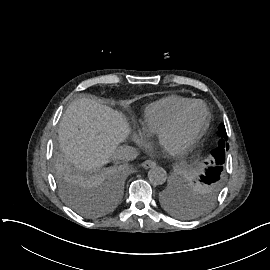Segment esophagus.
Wrapping results in <instances>:
<instances>
[{"label": "esophagus", "instance_id": "obj_1", "mask_svg": "<svg viewBox=\"0 0 270 270\" xmlns=\"http://www.w3.org/2000/svg\"><path fill=\"white\" fill-rule=\"evenodd\" d=\"M141 166L145 169H149V168L156 166V162L154 160L148 159V160L144 161L141 164Z\"/></svg>", "mask_w": 270, "mask_h": 270}]
</instances>
